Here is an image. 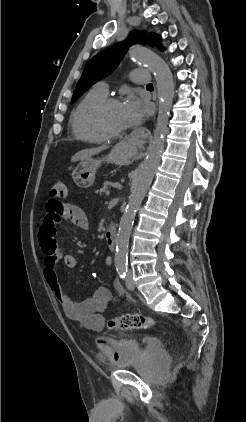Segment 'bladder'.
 <instances>
[{
	"instance_id": "obj_1",
	"label": "bladder",
	"mask_w": 246,
	"mask_h": 422,
	"mask_svg": "<svg viewBox=\"0 0 246 422\" xmlns=\"http://www.w3.org/2000/svg\"><path fill=\"white\" fill-rule=\"evenodd\" d=\"M101 353L109 360V362L118 368H127L138 363L142 352V345L136 339L109 338L100 344ZM151 355L157 367L166 369L169 365V356L167 352L160 346L151 349Z\"/></svg>"
}]
</instances>
